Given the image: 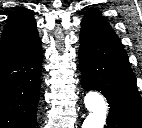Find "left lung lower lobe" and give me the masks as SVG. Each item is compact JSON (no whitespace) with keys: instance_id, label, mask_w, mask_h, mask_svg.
<instances>
[{"instance_id":"1","label":"left lung lower lobe","mask_w":142,"mask_h":128,"mask_svg":"<svg viewBox=\"0 0 142 128\" xmlns=\"http://www.w3.org/2000/svg\"><path fill=\"white\" fill-rule=\"evenodd\" d=\"M79 60L83 88L108 100L105 128H142V99L119 38L81 22Z\"/></svg>"}]
</instances>
